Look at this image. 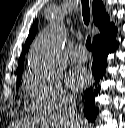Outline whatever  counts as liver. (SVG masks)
<instances>
[{"instance_id": "1", "label": "liver", "mask_w": 125, "mask_h": 128, "mask_svg": "<svg viewBox=\"0 0 125 128\" xmlns=\"http://www.w3.org/2000/svg\"><path fill=\"white\" fill-rule=\"evenodd\" d=\"M81 118V125L80 126H82L81 128H85L86 126H87V121L84 119V118H82V117H80ZM50 122V124H51V121H49ZM68 123H69V120H68V118H66V117H64V118H59V117H56V118H54L53 119V122H52V126H62V125H68Z\"/></svg>"}]
</instances>
